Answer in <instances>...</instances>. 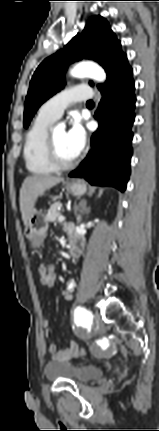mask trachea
<instances>
[{"mask_svg": "<svg viewBox=\"0 0 159 431\" xmlns=\"http://www.w3.org/2000/svg\"><path fill=\"white\" fill-rule=\"evenodd\" d=\"M87 104H88V105H92V104H93V101H92V100H89V101L87 102Z\"/></svg>", "mask_w": 159, "mask_h": 431, "instance_id": "trachea-1", "label": "trachea"}]
</instances>
